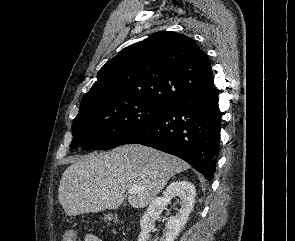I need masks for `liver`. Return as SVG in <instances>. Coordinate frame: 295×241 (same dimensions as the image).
Instances as JSON below:
<instances>
[{
    "mask_svg": "<svg viewBox=\"0 0 295 241\" xmlns=\"http://www.w3.org/2000/svg\"><path fill=\"white\" fill-rule=\"evenodd\" d=\"M190 166L180 158L141 145H124L111 152L89 154L72 160L58 188V200L68 216L118 208L126 190L133 208L149 205L176 173Z\"/></svg>",
    "mask_w": 295,
    "mask_h": 241,
    "instance_id": "liver-1",
    "label": "liver"
}]
</instances>
